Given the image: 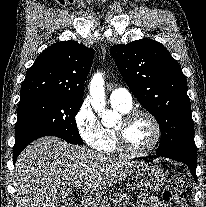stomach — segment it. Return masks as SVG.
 Here are the masks:
<instances>
[{
  "label": "stomach",
  "mask_w": 206,
  "mask_h": 207,
  "mask_svg": "<svg viewBox=\"0 0 206 207\" xmlns=\"http://www.w3.org/2000/svg\"><path fill=\"white\" fill-rule=\"evenodd\" d=\"M136 186L146 192H157L166 180L163 170L157 166L141 164L135 170Z\"/></svg>",
  "instance_id": "1"
}]
</instances>
